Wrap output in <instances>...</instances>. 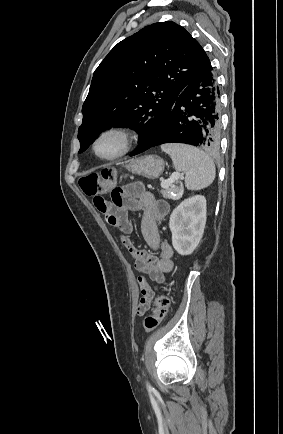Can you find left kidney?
Listing matches in <instances>:
<instances>
[{
	"mask_svg": "<svg viewBox=\"0 0 283 434\" xmlns=\"http://www.w3.org/2000/svg\"><path fill=\"white\" fill-rule=\"evenodd\" d=\"M205 224V197L195 195L183 200L173 210L169 221L174 249L180 255H190L200 243Z\"/></svg>",
	"mask_w": 283,
	"mask_h": 434,
	"instance_id": "1",
	"label": "left kidney"
}]
</instances>
